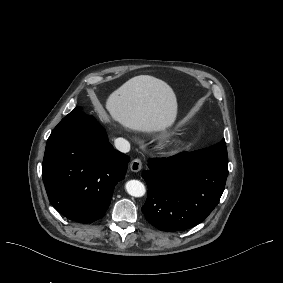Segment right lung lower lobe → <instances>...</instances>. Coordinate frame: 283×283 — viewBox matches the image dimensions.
I'll list each match as a JSON object with an SVG mask.
<instances>
[{"instance_id":"1","label":"right lung lower lobe","mask_w":283,"mask_h":283,"mask_svg":"<svg viewBox=\"0 0 283 283\" xmlns=\"http://www.w3.org/2000/svg\"><path fill=\"white\" fill-rule=\"evenodd\" d=\"M128 162L93 116L79 112L64 117L47 140L42 163L50 203L76 222L102 218Z\"/></svg>"}]
</instances>
